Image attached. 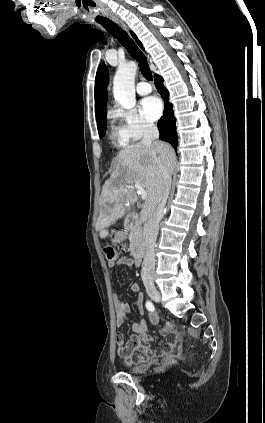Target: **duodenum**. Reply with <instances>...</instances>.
<instances>
[{
	"label": "duodenum",
	"mask_w": 265,
	"mask_h": 423,
	"mask_svg": "<svg viewBox=\"0 0 265 423\" xmlns=\"http://www.w3.org/2000/svg\"><path fill=\"white\" fill-rule=\"evenodd\" d=\"M129 228L132 234L130 240V249L135 261L137 263H140L143 258V252L140 245L139 237L137 235V221L135 219L131 220Z\"/></svg>",
	"instance_id": "obj_1"
}]
</instances>
